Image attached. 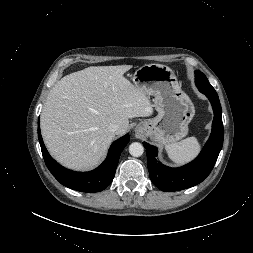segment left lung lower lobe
Wrapping results in <instances>:
<instances>
[{"instance_id":"0a47b994","label":"left lung lower lobe","mask_w":253,"mask_h":253,"mask_svg":"<svg viewBox=\"0 0 253 253\" xmlns=\"http://www.w3.org/2000/svg\"><path fill=\"white\" fill-rule=\"evenodd\" d=\"M200 92L210 100L214 111V119L209 140L194 161L179 168L167 167L156 159L157 148L148 143H143L147 152L150 179L162 191H179L204 181L213 169L223 146L224 131L219 97L214 91L202 89Z\"/></svg>"}]
</instances>
